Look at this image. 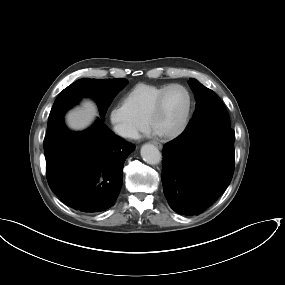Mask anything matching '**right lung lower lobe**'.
Instances as JSON below:
<instances>
[{
    "mask_svg": "<svg viewBox=\"0 0 285 285\" xmlns=\"http://www.w3.org/2000/svg\"><path fill=\"white\" fill-rule=\"evenodd\" d=\"M135 146L98 119L73 132L63 120L44 139L46 175L51 190L69 207L84 213L114 205L123 183V165Z\"/></svg>",
    "mask_w": 285,
    "mask_h": 285,
    "instance_id": "obj_1",
    "label": "right lung lower lobe"
}]
</instances>
